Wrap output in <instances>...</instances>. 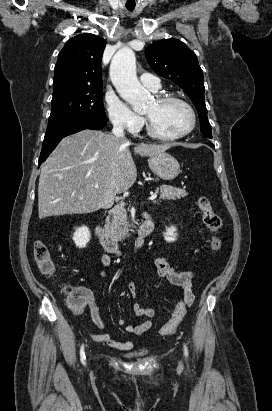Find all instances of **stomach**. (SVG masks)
I'll use <instances>...</instances> for the list:
<instances>
[{
	"mask_svg": "<svg viewBox=\"0 0 272 411\" xmlns=\"http://www.w3.org/2000/svg\"><path fill=\"white\" fill-rule=\"evenodd\" d=\"M148 164L150 169L163 180H173L180 173L179 162L165 152L150 156Z\"/></svg>",
	"mask_w": 272,
	"mask_h": 411,
	"instance_id": "0dacf381",
	"label": "stomach"
}]
</instances>
